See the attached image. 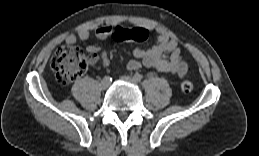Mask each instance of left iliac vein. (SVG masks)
<instances>
[{
    "label": "left iliac vein",
    "instance_id": "1",
    "mask_svg": "<svg viewBox=\"0 0 259 156\" xmlns=\"http://www.w3.org/2000/svg\"><path fill=\"white\" fill-rule=\"evenodd\" d=\"M121 80H123V81H125V82H129V83H132V84H136L137 83V81L134 79V78H132V77H130V76H122L121 77Z\"/></svg>",
    "mask_w": 259,
    "mask_h": 156
}]
</instances>
